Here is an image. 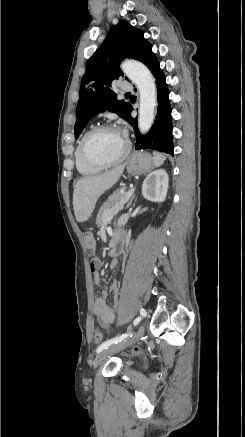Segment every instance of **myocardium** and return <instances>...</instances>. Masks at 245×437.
I'll return each instance as SVG.
<instances>
[{
    "instance_id": "f54148a6",
    "label": "myocardium",
    "mask_w": 245,
    "mask_h": 437,
    "mask_svg": "<svg viewBox=\"0 0 245 437\" xmlns=\"http://www.w3.org/2000/svg\"><path fill=\"white\" fill-rule=\"evenodd\" d=\"M106 130L119 131V129L112 124H108V123L100 124V125H96V126L92 127L91 129H89L80 140V152H81L83 159L88 164L95 166V167H99V168H107V167H112V166H115L117 164H120L129 156L130 151H131V143L128 140V138L125 137L126 147H125V150L120 157H118L114 160H111V161H101V160H97V159L93 158L87 151V143L92 136H94L95 134H97L99 132L106 131Z\"/></svg>"
}]
</instances>
